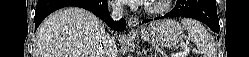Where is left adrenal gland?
I'll return each mask as SVG.
<instances>
[{
    "label": "left adrenal gland",
    "instance_id": "a2214340",
    "mask_svg": "<svg viewBox=\"0 0 249 57\" xmlns=\"http://www.w3.org/2000/svg\"><path fill=\"white\" fill-rule=\"evenodd\" d=\"M144 53H146V51L144 50ZM153 57L156 56V55H152Z\"/></svg>",
    "mask_w": 249,
    "mask_h": 57
}]
</instances>
